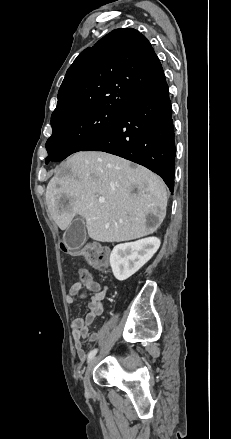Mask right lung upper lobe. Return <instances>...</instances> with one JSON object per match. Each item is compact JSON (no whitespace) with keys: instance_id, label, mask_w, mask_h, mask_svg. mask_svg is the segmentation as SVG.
<instances>
[{"instance_id":"obj_1","label":"right lung upper lobe","mask_w":231,"mask_h":439,"mask_svg":"<svg viewBox=\"0 0 231 439\" xmlns=\"http://www.w3.org/2000/svg\"><path fill=\"white\" fill-rule=\"evenodd\" d=\"M166 85L148 39L133 28L116 29L69 67L51 119L92 108L123 112L137 98Z\"/></svg>"}]
</instances>
